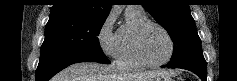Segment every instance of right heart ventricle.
I'll list each match as a JSON object with an SVG mask.
<instances>
[{"label": "right heart ventricle", "instance_id": "obj_1", "mask_svg": "<svg viewBox=\"0 0 237 81\" xmlns=\"http://www.w3.org/2000/svg\"><path fill=\"white\" fill-rule=\"evenodd\" d=\"M147 21L149 19L144 11L127 9L126 25L117 31L116 61L118 65L127 68H139L142 66L133 51V34L137 27Z\"/></svg>", "mask_w": 237, "mask_h": 81}]
</instances>
